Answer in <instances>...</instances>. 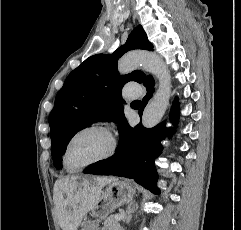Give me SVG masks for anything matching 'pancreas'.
Returning a JSON list of instances; mask_svg holds the SVG:
<instances>
[{
    "label": "pancreas",
    "instance_id": "cf45deb5",
    "mask_svg": "<svg viewBox=\"0 0 241 230\" xmlns=\"http://www.w3.org/2000/svg\"><path fill=\"white\" fill-rule=\"evenodd\" d=\"M102 230H120V225L118 221L115 219V216H110L103 222Z\"/></svg>",
    "mask_w": 241,
    "mask_h": 230
}]
</instances>
